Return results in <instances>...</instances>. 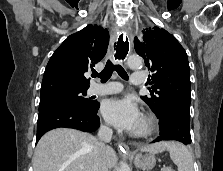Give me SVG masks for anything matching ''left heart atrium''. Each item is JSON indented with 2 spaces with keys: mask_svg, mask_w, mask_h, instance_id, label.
Here are the masks:
<instances>
[{
  "mask_svg": "<svg viewBox=\"0 0 223 171\" xmlns=\"http://www.w3.org/2000/svg\"><path fill=\"white\" fill-rule=\"evenodd\" d=\"M103 117L115 128L134 132L141 121L137 105L130 98H113L101 106Z\"/></svg>",
  "mask_w": 223,
  "mask_h": 171,
  "instance_id": "1",
  "label": "left heart atrium"
}]
</instances>
